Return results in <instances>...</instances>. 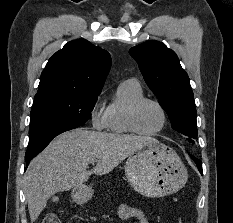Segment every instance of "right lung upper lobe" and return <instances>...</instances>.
<instances>
[{"mask_svg": "<svg viewBox=\"0 0 233 223\" xmlns=\"http://www.w3.org/2000/svg\"><path fill=\"white\" fill-rule=\"evenodd\" d=\"M111 57L87 40H73L56 52L43 70L35 96L52 93H100Z\"/></svg>", "mask_w": 233, "mask_h": 223, "instance_id": "1", "label": "right lung upper lobe"}]
</instances>
